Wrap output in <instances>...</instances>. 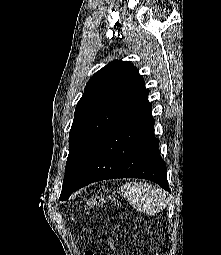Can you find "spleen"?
Returning a JSON list of instances; mask_svg holds the SVG:
<instances>
[{"label": "spleen", "mask_w": 221, "mask_h": 255, "mask_svg": "<svg viewBox=\"0 0 221 255\" xmlns=\"http://www.w3.org/2000/svg\"><path fill=\"white\" fill-rule=\"evenodd\" d=\"M121 192L135 209L148 215L161 212L168 202L166 193L149 183L129 182L121 187Z\"/></svg>", "instance_id": "spleen-1"}]
</instances>
